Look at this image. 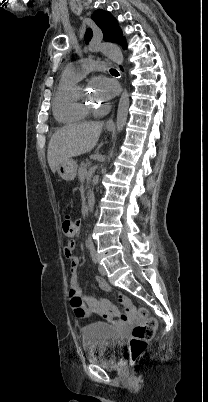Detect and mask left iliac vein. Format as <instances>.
<instances>
[{
    "label": "left iliac vein",
    "instance_id": "obj_1",
    "mask_svg": "<svg viewBox=\"0 0 208 402\" xmlns=\"http://www.w3.org/2000/svg\"><path fill=\"white\" fill-rule=\"evenodd\" d=\"M98 271H99V273L102 275V276H105L106 275V269H105V267L103 266V265H99L98 266Z\"/></svg>",
    "mask_w": 208,
    "mask_h": 402
}]
</instances>
